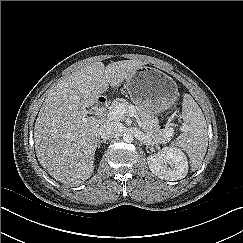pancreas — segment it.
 <instances>
[{
  "label": "pancreas",
  "instance_id": "pancreas-1",
  "mask_svg": "<svg viewBox=\"0 0 243 243\" xmlns=\"http://www.w3.org/2000/svg\"><path fill=\"white\" fill-rule=\"evenodd\" d=\"M119 104H124L126 110H128L129 107L134 106L128 101H126V99L117 98L112 102L111 109H113ZM134 108L136 110L137 117L142 122V130L150 139H152L156 143H164L171 139V136L173 135L172 128L160 129L158 121L154 118L153 115L149 114L141 107L134 106Z\"/></svg>",
  "mask_w": 243,
  "mask_h": 243
}]
</instances>
